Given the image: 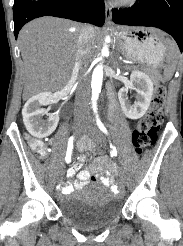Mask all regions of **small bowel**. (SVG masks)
Listing matches in <instances>:
<instances>
[{
  "mask_svg": "<svg viewBox=\"0 0 183 246\" xmlns=\"http://www.w3.org/2000/svg\"><path fill=\"white\" fill-rule=\"evenodd\" d=\"M83 162L84 156H81L80 160L68 169L67 176L69 178L77 175L73 184H67L65 186H62V184H53V189H61L63 194H70L74 190L82 189L90 182H100L103 185L108 186L109 191H114L115 193L119 192V187L113 186L115 173L112 166H109V171H107L106 175H100L99 168L97 166H92L89 169H81Z\"/></svg>",
  "mask_w": 183,
  "mask_h": 246,
  "instance_id": "1",
  "label": "small bowel"
}]
</instances>
